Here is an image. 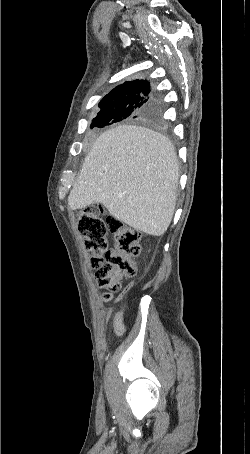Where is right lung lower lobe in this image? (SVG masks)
I'll return each instance as SVG.
<instances>
[{
	"instance_id": "98d812e1",
	"label": "right lung lower lobe",
	"mask_w": 250,
	"mask_h": 454,
	"mask_svg": "<svg viewBox=\"0 0 250 454\" xmlns=\"http://www.w3.org/2000/svg\"><path fill=\"white\" fill-rule=\"evenodd\" d=\"M152 108H154V110L157 112L158 117H161V115H162V106H161V103H160L159 99L153 104Z\"/></svg>"
}]
</instances>
